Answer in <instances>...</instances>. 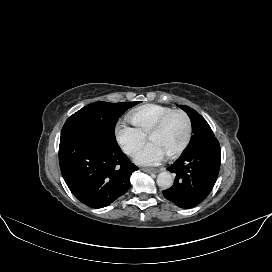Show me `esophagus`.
I'll list each match as a JSON object with an SVG mask.
<instances>
[{
	"label": "esophagus",
	"mask_w": 272,
	"mask_h": 272,
	"mask_svg": "<svg viewBox=\"0 0 272 272\" xmlns=\"http://www.w3.org/2000/svg\"><path fill=\"white\" fill-rule=\"evenodd\" d=\"M143 171L146 172V173H159L161 170L160 169H148V168H144Z\"/></svg>",
	"instance_id": "esophagus-1"
}]
</instances>
